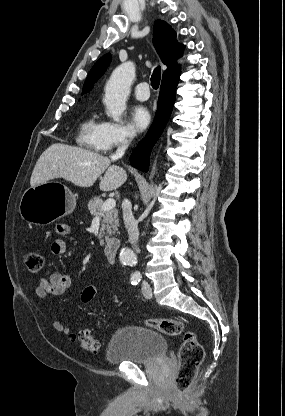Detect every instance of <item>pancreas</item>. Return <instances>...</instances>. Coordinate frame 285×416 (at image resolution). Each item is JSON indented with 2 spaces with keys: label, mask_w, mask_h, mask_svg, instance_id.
Here are the masks:
<instances>
[{
  "label": "pancreas",
  "mask_w": 285,
  "mask_h": 416,
  "mask_svg": "<svg viewBox=\"0 0 285 416\" xmlns=\"http://www.w3.org/2000/svg\"><path fill=\"white\" fill-rule=\"evenodd\" d=\"M102 206L103 200H101L99 196H94V198L88 202V210L91 216H98V218H102L98 238L101 244H104V236L105 238H109V236H115L119 228V220L118 210H115L114 208V210H109V212H103Z\"/></svg>",
  "instance_id": "cf45deb5"
}]
</instances>
